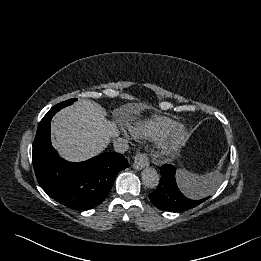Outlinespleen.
I'll return each instance as SVG.
<instances>
[{"instance_id": "spleen-1", "label": "spleen", "mask_w": 261, "mask_h": 261, "mask_svg": "<svg viewBox=\"0 0 261 261\" xmlns=\"http://www.w3.org/2000/svg\"><path fill=\"white\" fill-rule=\"evenodd\" d=\"M183 174L191 177V173L187 171H182ZM219 185L218 179L214 175H207L202 179H195V186L199 188H204L206 191L202 195H191V198L200 199L211 194Z\"/></svg>"}]
</instances>
